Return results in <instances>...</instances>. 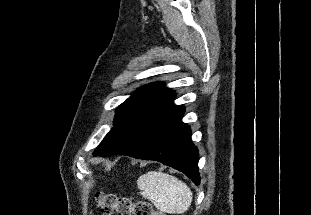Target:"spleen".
Instances as JSON below:
<instances>
[{"label":"spleen","mask_w":311,"mask_h":215,"mask_svg":"<svg viewBox=\"0 0 311 215\" xmlns=\"http://www.w3.org/2000/svg\"><path fill=\"white\" fill-rule=\"evenodd\" d=\"M140 194L164 213L182 214L191 206L193 194L186 183L163 172L150 171L137 180Z\"/></svg>","instance_id":"3e777b00"}]
</instances>
